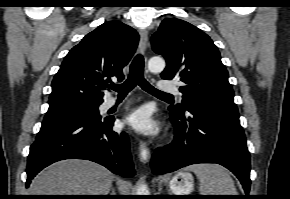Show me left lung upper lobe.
<instances>
[{
	"instance_id": "left-lung-upper-lobe-1",
	"label": "left lung upper lobe",
	"mask_w": 290,
	"mask_h": 199,
	"mask_svg": "<svg viewBox=\"0 0 290 199\" xmlns=\"http://www.w3.org/2000/svg\"><path fill=\"white\" fill-rule=\"evenodd\" d=\"M152 47L167 62L161 77L179 79L182 84V103L171 105L169 109L179 112L191 103H200L224 112L238 113L220 53L203 31L186 21L167 18L153 34Z\"/></svg>"
}]
</instances>
